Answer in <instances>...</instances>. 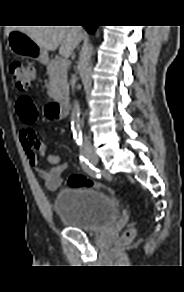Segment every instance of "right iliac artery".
<instances>
[{"mask_svg":"<svg viewBox=\"0 0 184 292\" xmlns=\"http://www.w3.org/2000/svg\"><path fill=\"white\" fill-rule=\"evenodd\" d=\"M80 164L82 166V169L91 175L94 178H98L100 181L102 178L100 177L98 173V169H96L84 156L80 155Z\"/></svg>","mask_w":184,"mask_h":292,"instance_id":"right-iliac-artery-1","label":"right iliac artery"}]
</instances>
